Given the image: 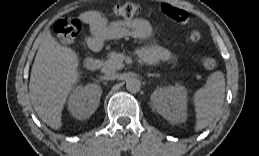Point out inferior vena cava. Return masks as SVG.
<instances>
[{"instance_id":"obj_1","label":"inferior vena cava","mask_w":259,"mask_h":156,"mask_svg":"<svg viewBox=\"0 0 259 156\" xmlns=\"http://www.w3.org/2000/svg\"><path fill=\"white\" fill-rule=\"evenodd\" d=\"M119 77V74L118 73H115V72H110V73H107L103 76V79L105 80H115Z\"/></svg>"}]
</instances>
